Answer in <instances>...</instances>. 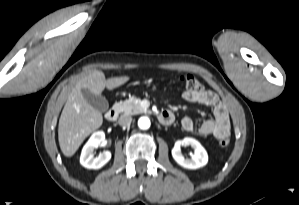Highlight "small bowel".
Segmentation results:
<instances>
[{
	"mask_svg": "<svg viewBox=\"0 0 299 205\" xmlns=\"http://www.w3.org/2000/svg\"><path fill=\"white\" fill-rule=\"evenodd\" d=\"M184 100L198 103L212 108L213 119L206 120L199 128L203 136H213L216 139L228 137L230 134L229 115L224 104L219 100L216 93L211 90L189 91L185 90L182 94ZM168 111V110H164ZM170 112V111H169ZM183 130L191 132L194 129V121L190 117L181 120Z\"/></svg>",
	"mask_w": 299,
	"mask_h": 205,
	"instance_id": "1",
	"label": "small bowel"
}]
</instances>
